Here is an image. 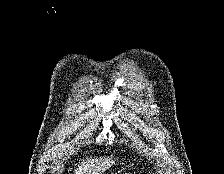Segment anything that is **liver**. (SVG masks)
I'll use <instances>...</instances> for the list:
<instances>
[{
    "label": "liver",
    "mask_w": 224,
    "mask_h": 174,
    "mask_svg": "<svg viewBox=\"0 0 224 174\" xmlns=\"http://www.w3.org/2000/svg\"><path fill=\"white\" fill-rule=\"evenodd\" d=\"M113 163L112 157L86 158L74 170L75 174H101Z\"/></svg>",
    "instance_id": "liver-1"
}]
</instances>
